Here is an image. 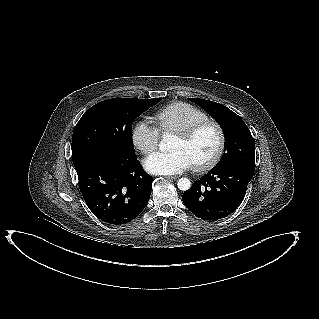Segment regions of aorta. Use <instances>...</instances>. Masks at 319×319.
I'll use <instances>...</instances> for the list:
<instances>
[{"label": "aorta", "instance_id": "762f6f07", "mask_svg": "<svg viewBox=\"0 0 319 319\" xmlns=\"http://www.w3.org/2000/svg\"><path fill=\"white\" fill-rule=\"evenodd\" d=\"M159 149L163 152L170 150V142H169V136L165 135L162 139V141L159 144ZM178 188L182 191H187L191 187V182L188 178H180L178 180Z\"/></svg>", "mask_w": 319, "mask_h": 319}]
</instances>
